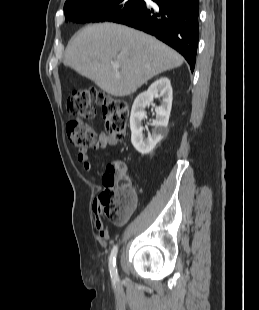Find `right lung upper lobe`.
Wrapping results in <instances>:
<instances>
[{
	"label": "right lung upper lobe",
	"mask_w": 259,
	"mask_h": 310,
	"mask_svg": "<svg viewBox=\"0 0 259 310\" xmlns=\"http://www.w3.org/2000/svg\"><path fill=\"white\" fill-rule=\"evenodd\" d=\"M101 0H67L64 7H68V6H73V5H85V4H90V3H94V2H98Z\"/></svg>",
	"instance_id": "right-lung-upper-lobe-1"
}]
</instances>
